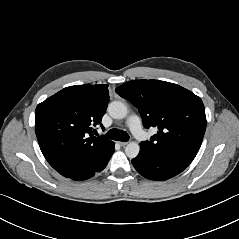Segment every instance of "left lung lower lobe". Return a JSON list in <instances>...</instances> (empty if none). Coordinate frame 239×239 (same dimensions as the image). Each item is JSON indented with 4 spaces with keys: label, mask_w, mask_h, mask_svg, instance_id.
<instances>
[{
    "label": "left lung lower lobe",
    "mask_w": 239,
    "mask_h": 239,
    "mask_svg": "<svg viewBox=\"0 0 239 239\" xmlns=\"http://www.w3.org/2000/svg\"><path fill=\"white\" fill-rule=\"evenodd\" d=\"M132 164L143 177L158 181L172 178L186 168L141 149L139 155L132 160Z\"/></svg>",
    "instance_id": "left-lung-lower-lobe-1"
}]
</instances>
